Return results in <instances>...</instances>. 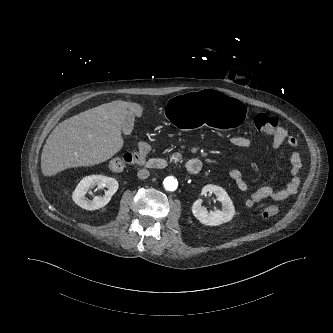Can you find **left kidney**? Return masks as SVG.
Masks as SVG:
<instances>
[{"label": "left kidney", "instance_id": "obj_1", "mask_svg": "<svg viewBox=\"0 0 333 333\" xmlns=\"http://www.w3.org/2000/svg\"><path fill=\"white\" fill-rule=\"evenodd\" d=\"M208 193H214L216 195L217 200L222 204V210L208 212V210L201 205L202 200L198 199L192 205L193 215L202 224L208 226H218L229 222L235 214V208L227 192L220 186L209 184L203 187L201 194L207 195Z\"/></svg>", "mask_w": 333, "mask_h": 333}]
</instances>
